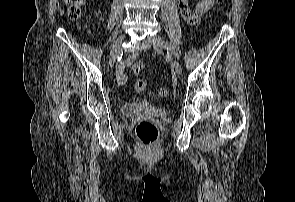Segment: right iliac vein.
<instances>
[{
  "label": "right iliac vein",
  "instance_id": "obj_1",
  "mask_svg": "<svg viewBox=\"0 0 295 202\" xmlns=\"http://www.w3.org/2000/svg\"><path fill=\"white\" fill-rule=\"evenodd\" d=\"M124 40H125V35H121L117 39V41L114 43V45L112 46L111 54H110V66L111 67H113L114 62H115L118 54L121 51V46H122V43L124 42Z\"/></svg>",
  "mask_w": 295,
  "mask_h": 202
}]
</instances>
